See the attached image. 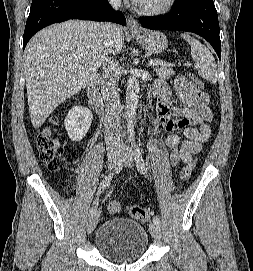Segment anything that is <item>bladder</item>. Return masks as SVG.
Segmentation results:
<instances>
[{
  "label": "bladder",
  "mask_w": 253,
  "mask_h": 271,
  "mask_svg": "<svg viewBox=\"0 0 253 271\" xmlns=\"http://www.w3.org/2000/svg\"><path fill=\"white\" fill-rule=\"evenodd\" d=\"M146 229L136 221L112 218L99 226L95 247L107 259L123 263L141 258L148 247Z\"/></svg>",
  "instance_id": "31cf9c89"
}]
</instances>
